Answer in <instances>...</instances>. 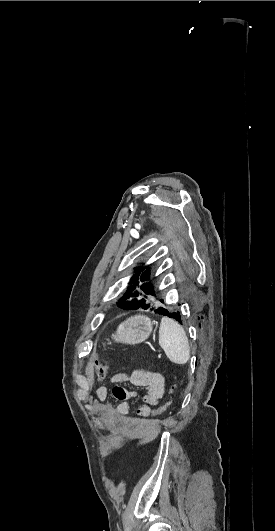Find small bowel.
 <instances>
[{"label":"small bowel","mask_w":275,"mask_h":531,"mask_svg":"<svg viewBox=\"0 0 275 531\" xmlns=\"http://www.w3.org/2000/svg\"><path fill=\"white\" fill-rule=\"evenodd\" d=\"M110 382L115 385L130 383L136 387L145 389L142 397L143 402L138 406L136 411L137 417L141 419H146L151 416V408L158 404L165 389V377L163 374L144 369H137L130 375L125 372L114 373L110 378ZM126 394V401L120 403L118 406L109 402L102 405L103 417L96 420L97 426L101 429H108L112 418L123 417L128 413L130 409L128 400L136 396L137 393L130 390L126 391ZM109 395L110 390L107 386H100L96 390V396L100 401L107 400Z\"/></svg>","instance_id":"obj_1"}]
</instances>
